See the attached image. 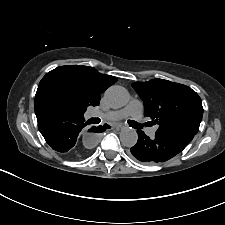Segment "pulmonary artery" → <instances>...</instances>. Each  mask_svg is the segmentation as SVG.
Returning a JSON list of instances; mask_svg holds the SVG:
<instances>
[{
    "mask_svg": "<svg viewBox=\"0 0 225 225\" xmlns=\"http://www.w3.org/2000/svg\"><path fill=\"white\" fill-rule=\"evenodd\" d=\"M91 115L93 117L102 118L109 121L119 120L128 116L136 121H141L143 117V103L138 99H133L126 107L120 110L109 112L94 111ZM155 132V127H150L147 129V134L150 137H153L155 135Z\"/></svg>",
    "mask_w": 225,
    "mask_h": 225,
    "instance_id": "1",
    "label": "pulmonary artery"
}]
</instances>
